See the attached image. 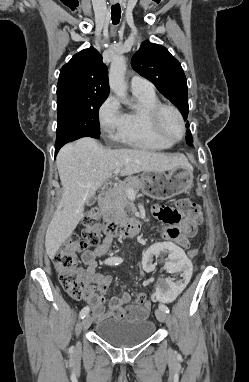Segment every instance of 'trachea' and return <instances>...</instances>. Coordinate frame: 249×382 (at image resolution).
Masks as SVG:
<instances>
[{"label":"trachea","mask_w":249,"mask_h":382,"mask_svg":"<svg viewBox=\"0 0 249 382\" xmlns=\"http://www.w3.org/2000/svg\"><path fill=\"white\" fill-rule=\"evenodd\" d=\"M112 23L117 25L121 18V9L119 4H115L111 7Z\"/></svg>","instance_id":"obj_1"}]
</instances>
